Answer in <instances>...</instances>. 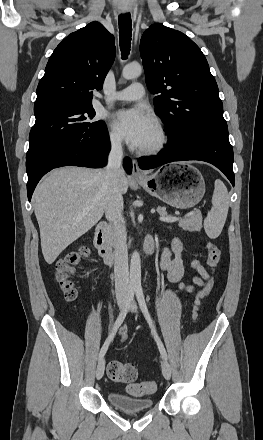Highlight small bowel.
Returning a JSON list of instances; mask_svg holds the SVG:
<instances>
[{"instance_id":"obj_1","label":"small bowel","mask_w":263,"mask_h":440,"mask_svg":"<svg viewBox=\"0 0 263 440\" xmlns=\"http://www.w3.org/2000/svg\"><path fill=\"white\" fill-rule=\"evenodd\" d=\"M183 245L178 240L172 241L169 247L164 248L160 267L166 272L168 280L175 284L179 289L185 292H191L195 287H202L209 279L210 275L196 259L190 260V266L196 271V275L190 278L189 282H185V268L182 260ZM127 334L125 327L120 328L119 335L124 338Z\"/></svg>"}]
</instances>
